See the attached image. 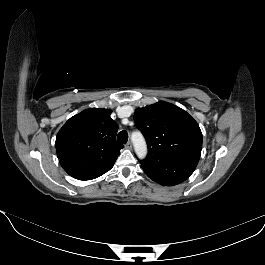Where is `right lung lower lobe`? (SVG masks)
I'll list each match as a JSON object with an SVG mask.
<instances>
[{"mask_svg": "<svg viewBox=\"0 0 265 265\" xmlns=\"http://www.w3.org/2000/svg\"><path fill=\"white\" fill-rule=\"evenodd\" d=\"M94 178H97V177H79V178H76V179H79V180H90V179H94Z\"/></svg>", "mask_w": 265, "mask_h": 265, "instance_id": "obj_1", "label": "right lung lower lobe"}]
</instances>
